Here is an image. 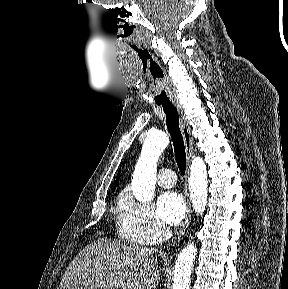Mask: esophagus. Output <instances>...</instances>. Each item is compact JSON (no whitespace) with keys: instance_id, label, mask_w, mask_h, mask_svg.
Listing matches in <instances>:
<instances>
[{"instance_id":"esophagus-1","label":"esophagus","mask_w":288,"mask_h":289,"mask_svg":"<svg viewBox=\"0 0 288 289\" xmlns=\"http://www.w3.org/2000/svg\"><path fill=\"white\" fill-rule=\"evenodd\" d=\"M173 104L175 108L178 111L179 118H180V126L183 134V140L185 144V150H186V155H187V166H186V189H187V181L189 178V173H190V164H191V159L194 154V148H193V138L191 135V129L188 125L184 110L182 108V105L178 101H173ZM186 202H187V212H186V217L184 219V222L181 226V228L178 230L177 234L175 235L173 241L174 244L177 245L179 241L183 238L185 232L187 231V228L191 222V214H192V209H191V204L189 201V195L188 192L186 191Z\"/></svg>"}]
</instances>
